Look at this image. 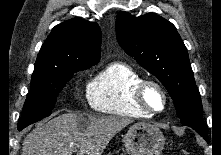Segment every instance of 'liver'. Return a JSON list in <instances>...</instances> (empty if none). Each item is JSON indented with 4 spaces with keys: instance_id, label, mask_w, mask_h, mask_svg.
I'll list each match as a JSON object with an SVG mask.
<instances>
[{
    "instance_id": "6515ba94",
    "label": "liver",
    "mask_w": 221,
    "mask_h": 155,
    "mask_svg": "<svg viewBox=\"0 0 221 155\" xmlns=\"http://www.w3.org/2000/svg\"><path fill=\"white\" fill-rule=\"evenodd\" d=\"M132 120L117 116L65 113L39 125L24 138L22 155H101Z\"/></svg>"
}]
</instances>
